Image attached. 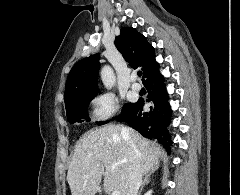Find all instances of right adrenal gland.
<instances>
[{"instance_id":"right-adrenal-gland-1","label":"right adrenal gland","mask_w":240,"mask_h":195,"mask_svg":"<svg viewBox=\"0 0 240 195\" xmlns=\"http://www.w3.org/2000/svg\"><path fill=\"white\" fill-rule=\"evenodd\" d=\"M152 173H154V171H151V173H145V177H144V179L142 181V185H141V187L139 189L138 195H141L142 189H143L144 185H147V183H149V181H151Z\"/></svg>"}]
</instances>
